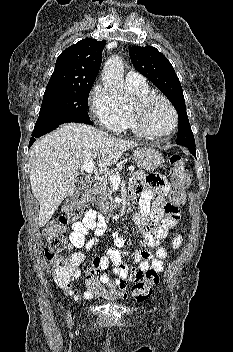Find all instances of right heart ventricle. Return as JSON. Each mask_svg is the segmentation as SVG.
<instances>
[{
	"mask_svg": "<svg viewBox=\"0 0 233 352\" xmlns=\"http://www.w3.org/2000/svg\"><path fill=\"white\" fill-rule=\"evenodd\" d=\"M132 91L137 95V97L146 95L149 93V89L148 87H144V88H131ZM124 111V123H123V128L122 130H133L132 127V122H131V118H130V114H129V110H123Z\"/></svg>",
	"mask_w": 233,
	"mask_h": 352,
	"instance_id": "e07e8e85",
	"label": "right heart ventricle"
}]
</instances>
